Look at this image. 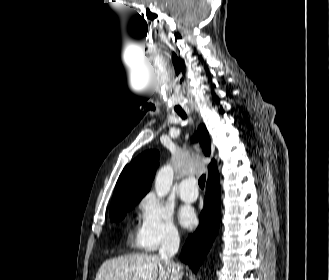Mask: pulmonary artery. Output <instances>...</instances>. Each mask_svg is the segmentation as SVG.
<instances>
[{"label": "pulmonary artery", "mask_w": 329, "mask_h": 280, "mask_svg": "<svg viewBox=\"0 0 329 280\" xmlns=\"http://www.w3.org/2000/svg\"><path fill=\"white\" fill-rule=\"evenodd\" d=\"M179 196L186 202H194L198 197L196 180L194 178L183 179L178 188Z\"/></svg>", "instance_id": "e3ab8cb5"}]
</instances>
